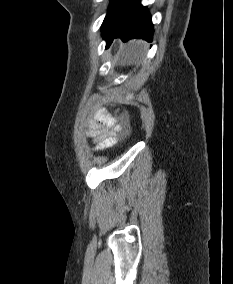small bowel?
<instances>
[{
	"instance_id": "1",
	"label": "small bowel",
	"mask_w": 233,
	"mask_h": 284,
	"mask_svg": "<svg viewBox=\"0 0 233 284\" xmlns=\"http://www.w3.org/2000/svg\"><path fill=\"white\" fill-rule=\"evenodd\" d=\"M128 127L129 121L126 116L116 119L106 115L91 123L88 135L96 143V148L102 150L114 145L119 133L127 131Z\"/></svg>"
}]
</instances>
